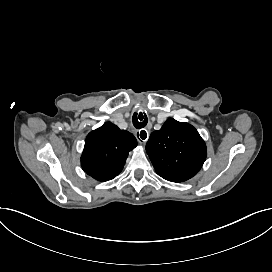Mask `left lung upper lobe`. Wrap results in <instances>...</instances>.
Returning a JSON list of instances; mask_svg holds the SVG:
<instances>
[{"mask_svg": "<svg viewBox=\"0 0 272 272\" xmlns=\"http://www.w3.org/2000/svg\"><path fill=\"white\" fill-rule=\"evenodd\" d=\"M146 152L157 174L172 182H184L195 176L207 155L205 142L198 131L173 118L151 133Z\"/></svg>", "mask_w": 272, "mask_h": 272, "instance_id": "obj_1", "label": "left lung upper lobe"}]
</instances>
